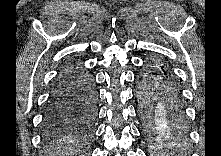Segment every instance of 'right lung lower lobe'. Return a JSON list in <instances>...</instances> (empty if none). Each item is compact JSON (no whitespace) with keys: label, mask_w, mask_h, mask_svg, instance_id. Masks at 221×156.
Returning a JSON list of instances; mask_svg holds the SVG:
<instances>
[{"label":"right lung lower lobe","mask_w":221,"mask_h":156,"mask_svg":"<svg viewBox=\"0 0 221 156\" xmlns=\"http://www.w3.org/2000/svg\"><path fill=\"white\" fill-rule=\"evenodd\" d=\"M96 90L84 71L68 68L58 77L44 114L47 132L90 127L95 118Z\"/></svg>","instance_id":"98d812e1"}]
</instances>
